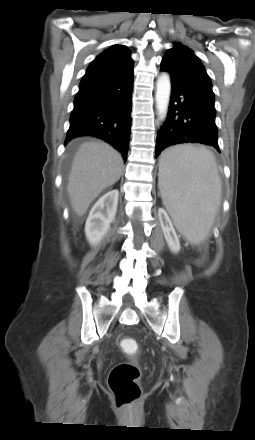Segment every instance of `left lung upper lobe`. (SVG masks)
<instances>
[{
	"label": "left lung upper lobe",
	"mask_w": 255,
	"mask_h": 440,
	"mask_svg": "<svg viewBox=\"0 0 255 440\" xmlns=\"http://www.w3.org/2000/svg\"><path fill=\"white\" fill-rule=\"evenodd\" d=\"M161 68L169 72L172 82L214 104L211 80L200 59L187 46L174 43V47L165 53Z\"/></svg>",
	"instance_id": "left-lung-upper-lobe-1"
}]
</instances>
